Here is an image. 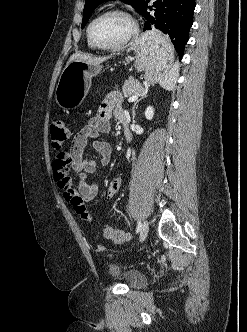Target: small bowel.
<instances>
[{"mask_svg":"<svg viewBox=\"0 0 247 332\" xmlns=\"http://www.w3.org/2000/svg\"><path fill=\"white\" fill-rule=\"evenodd\" d=\"M122 98L118 91L110 93L101 103L97 114L92 117L74 137L68 152H60L53 161L52 170L54 181L62 190L63 196L71 204L75 212L84 220H91L92 213L87 204L98 194L97 182H87V176L96 171L98 166H106L111 158V146L108 142L100 140L102 133L110 131L109 119L114 112L120 120L126 117L121 105ZM93 139L92 147L98 153V162L85 155L88 141ZM70 171L77 173L79 182L75 186ZM122 178L115 177L106 189L107 199H112L122 186Z\"/></svg>","mask_w":247,"mask_h":332,"instance_id":"c3829d8e","label":"small bowel"}]
</instances>
